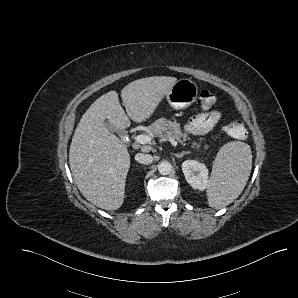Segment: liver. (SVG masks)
Here are the masks:
<instances>
[{"instance_id":"6515ba94","label":"liver","mask_w":298,"mask_h":298,"mask_svg":"<svg viewBox=\"0 0 298 298\" xmlns=\"http://www.w3.org/2000/svg\"><path fill=\"white\" fill-rule=\"evenodd\" d=\"M175 77L152 76L134 80L118 93L97 98L81 117L72 137L69 164L82 195L102 209L115 210L123 202L130 155L123 142L103 123L108 119L117 129L141 121L156 108L176 82Z\"/></svg>"}]
</instances>
